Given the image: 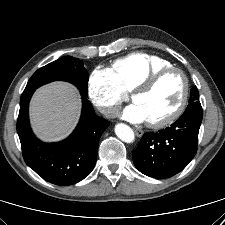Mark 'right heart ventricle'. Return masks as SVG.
Listing matches in <instances>:
<instances>
[{
    "label": "right heart ventricle",
    "instance_id": "obj_1",
    "mask_svg": "<svg viewBox=\"0 0 225 225\" xmlns=\"http://www.w3.org/2000/svg\"><path fill=\"white\" fill-rule=\"evenodd\" d=\"M171 66L167 60L143 52L117 59L110 70L124 92L133 91L150 74Z\"/></svg>",
    "mask_w": 225,
    "mask_h": 225
}]
</instances>
